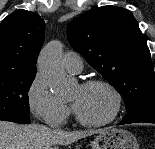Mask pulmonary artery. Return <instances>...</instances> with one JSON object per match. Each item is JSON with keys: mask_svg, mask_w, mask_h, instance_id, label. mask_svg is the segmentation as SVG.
<instances>
[{"mask_svg": "<svg viewBox=\"0 0 155 149\" xmlns=\"http://www.w3.org/2000/svg\"><path fill=\"white\" fill-rule=\"evenodd\" d=\"M63 66L68 72L79 73L83 68L82 58L75 52H67L63 57Z\"/></svg>", "mask_w": 155, "mask_h": 149, "instance_id": "1", "label": "pulmonary artery"}]
</instances>
